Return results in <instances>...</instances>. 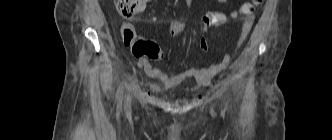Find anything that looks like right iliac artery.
<instances>
[{"label":"right iliac artery","instance_id":"right-iliac-artery-1","mask_svg":"<svg viewBox=\"0 0 332 140\" xmlns=\"http://www.w3.org/2000/svg\"><path fill=\"white\" fill-rule=\"evenodd\" d=\"M119 92V102H118V108L121 107V103H122V94H123V86L121 85L118 89Z\"/></svg>","mask_w":332,"mask_h":140}]
</instances>
